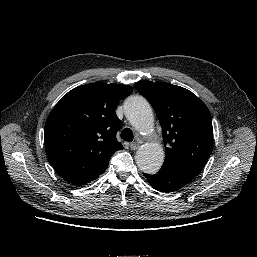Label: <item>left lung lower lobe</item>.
Listing matches in <instances>:
<instances>
[{"label":"left lung lower lobe","mask_w":257,"mask_h":257,"mask_svg":"<svg viewBox=\"0 0 257 257\" xmlns=\"http://www.w3.org/2000/svg\"><path fill=\"white\" fill-rule=\"evenodd\" d=\"M152 187L160 192H174L188 184L195 175L171 166L163 165L157 174H144Z\"/></svg>","instance_id":"0a47b994"}]
</instances>
